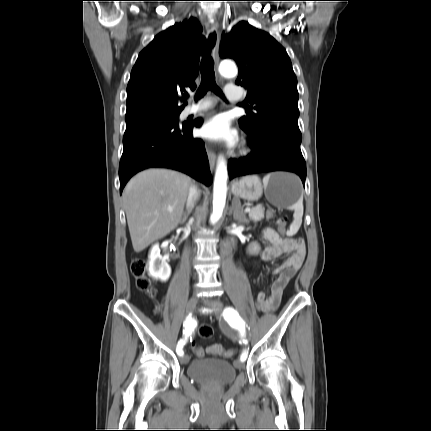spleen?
Returning a JSON list of instances; mask_svg holds the SVG:
<instances>
[{"label":"spleen","instance_id":"spleen-1","mask_svg":"<svg viewBox=\"0 0 431 431\" xmlns=\"http://www.w3.org/2000/svg\"><path fill=\"white\" fill-rule=\"evenodd\" d=\"M270 174L265 176L263 178V183L266 184L269 180ZM292 209L294 210L293 214V222L290 225V229L288 231V234L293 235L295 234L301 224H302V217H303V196L292 206Z\"/></svg>","mask_w":431,"mask_h":431}]
</instances>
